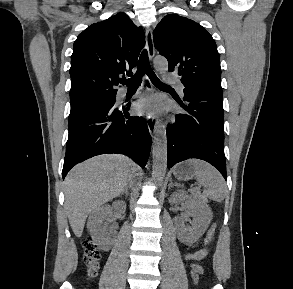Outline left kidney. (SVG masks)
<instances>
[{
  "label": "left kidney",
  "mask_w": 293,
  "mask_h": 289,
  "mask_svg": "<svg viewBox=\"0 0 293 289\" xmlns=\"http://www.w3.org/2000/svg\"><path fill=\"white\" fill-rule=\"evenodd\" d=\"M170 202L173 204L184 203L188 209L185 218L192 217L191 226H185L184 223L177 226L178 239L186 244L196 242L205 233L212 220L211 208L206 202L194 199L181 190L172 195Z\"/></svg>",
  "instance_id": "left-kidney-1"
}]
</instances>
